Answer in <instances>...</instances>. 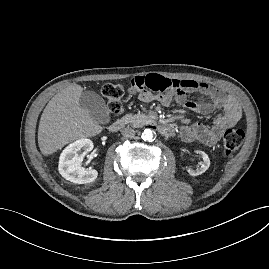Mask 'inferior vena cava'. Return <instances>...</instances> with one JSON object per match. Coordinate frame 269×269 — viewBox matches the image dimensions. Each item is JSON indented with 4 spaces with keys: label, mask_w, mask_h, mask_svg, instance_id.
Instances as JSON below:
<instances>
[{
    "label": "inferior vena cava",
    "mask_w": 269,
    "mask_h": 269,
    "mask_svg": "<svg viewBox=\"0 0 269 269\" xmlns=\"http://www.w3.org/2000/svg\"><path fill=\"white\" fill-rule=\"evenodd\" d=\"M121 133L127 139H132L135 136V130L131 127H125L122 129Z\"/></svg>",
    "instance_id": "602c4592"
}]
</instances>
